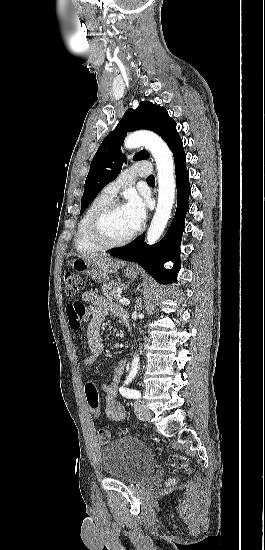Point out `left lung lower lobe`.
<instances>
[{"instance_id":"1","label":"left lung lower lobe","mask_w":265,"mask_h":550,"mask_svg":"<svg viewBox=\"0 0 265 550\" xmlns=\"http://www.w3.org/2000/svg\"><path fill=\"white\" fill-rule=\"evenodd\" d=\"M172 153L177 182V209L166 235L160 242L147 245L144 242L145 235L143 234L132 243L109 251L111 256L137 262L161 283L177 281V273L180 269V243L188 212V198L191 193L183 143L177 145ZM167 261L174 262L171 270H166L163 266Z\"/></svg>"}]
</instances>
